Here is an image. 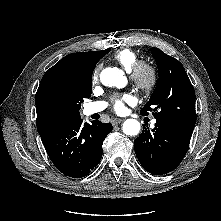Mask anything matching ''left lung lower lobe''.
<instances>
[{
	"label": "left lung lower lobe",
	"mask_w": 221,
	"mask_h": 221,
	"mask_svg": "<svg viewBox=\"0 0 221 221\" xmlns=\"http://www.w3.org/2000/svg\"><path fill=\"white\" fill-rule=\"evenodd\" d=\"M191 136L192 132L171 129L156 122L152 131L143 127V132L134 141L135 153L149 173L166 174L183 160Z\"/></svg>",
	"instance_id": "left-lung-lower-lobe-1"
}]
</instances>
